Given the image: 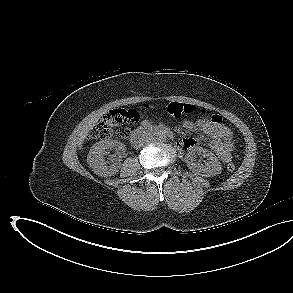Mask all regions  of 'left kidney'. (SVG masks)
Instances as JSON below:
<instances>
[{"label": "left kidney", "mask_w": 293, "mask_h": 293, "mask_svg": "<svg viewBox=\"0 0 293 293\" xmlns=\"http://www.w3.org/2000/svg\"><path fill=\"white\" fill-rule=\"evenodd\" d=\"M196 154L206 157L207 162L205 164L196 162ZM185 161L190 170L204 177L216 176L222 169L218 158L211 151L202 147H192L186 154Z\"/></svg>", "instance_id": "5707ae66"}]
</instances>
